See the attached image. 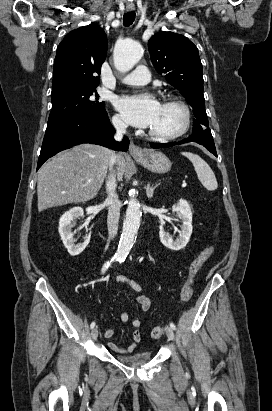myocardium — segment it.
Masks as SVG:
<instances>
[{"mask_svg":"<svg viewBox=\"0 0 272 411\" xmlns=\"http://www.w3.org/2000/svg\"><path fill=\"white\" fill-rule=\"evenodd\" d=\"M163 103L174 105L182 111V114H183L182 125L177 131L170 133V134H160L150 129L149 135L155 140L173 141L183 136L189 130L190 125H191V111L185 102H183L182 100L176 97H172V96L166 97L164 98Z\"/></svg>","mask_w":272,"mask_h":411,"instance_id":"1","label":"myocardium"}]
</instances>
